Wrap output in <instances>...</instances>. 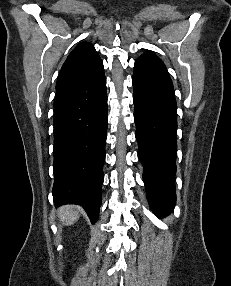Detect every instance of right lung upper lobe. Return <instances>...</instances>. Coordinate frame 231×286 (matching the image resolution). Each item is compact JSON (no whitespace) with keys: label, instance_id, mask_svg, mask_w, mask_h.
I'll list each match as a JSON object with an SVG mask.
<instances>
[{"label":"right lung upper lobe","instance_id":"right-lung-upper-lobe-1","mask_svg":"<svg viewBox=\"0 0 231 286\" xmlns=\"http://www.w3.org/2000/svg\"><path fill=\"white\" fill-rule=\"evenodd\" d=\"M100 69H103V62L94 46L88 42L80 43L64 62L56 86L94 76Z\"/></svg>","mask_w":231,"mask_h":286}]
</instances>
